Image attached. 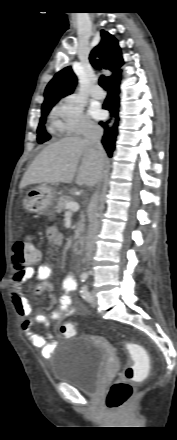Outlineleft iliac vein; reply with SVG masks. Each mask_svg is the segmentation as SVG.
Segmentation results:
<instances>
[{
	"mask_svg": "<svg viewBox=\"0 0 177 440\" xmlns=\"http://www.w3.org/2000/svg\"><path fill=\"white\" fill-rule=\"evenodd\" d=\"M91 297H92V300L90 302L91 306L93 307L97 306L98 300L94 292L91 293Z\"/></svg>",
	"mask_w": 177,
	"mask_h": 440,
	"instance_id": "1",
	"label": "left iliac vein"
}]
</instances>
